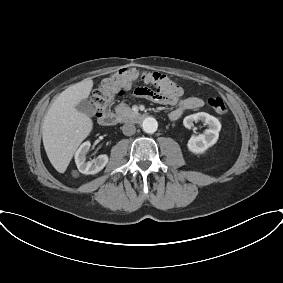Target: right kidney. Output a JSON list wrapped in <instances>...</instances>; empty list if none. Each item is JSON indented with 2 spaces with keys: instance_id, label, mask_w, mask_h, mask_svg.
<instances>
[{
  "instance_id": "1",
  "label": "right kidney",
  "mask_w": 283,
  "mask_h": 283,
  "mask_svg": "<svg viewBox=\"0 0 283 283\" xmlns=\"http://www.w3.org/2000/svg\"><path fill=\"white\" fill-rule=\"evenodd\" d=\"M91 143L84 142L75 153V163L79 172L83 174H96L100 172L108 163V156L106 154L99 155L98 158L86 162V154L89 151Z\"/></svg>"
}]
</instances>
